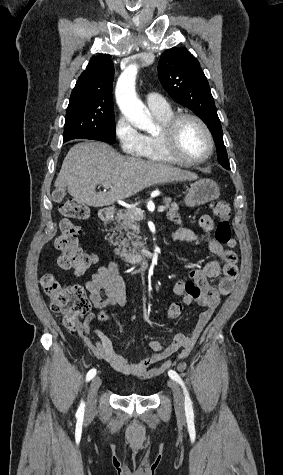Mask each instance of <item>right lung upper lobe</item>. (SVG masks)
Segmentation results:
<instances>
[{
  "label": "right lung upper lobe",
  "instance_id": "1",
  "mask_svg": "<svg viewBox=\"0 0 283 475\" xmlns=\"http://www.w3.org/2000/svg\"><path fill=\"white\" fill-rule=\"evenodd\" d=\"M108 54L93 56L71 93L72 101H98L112 104L114 65Z\"/></svg>",
  "mask_w": 283,
  "mask_h": 475
}]
</instances>
